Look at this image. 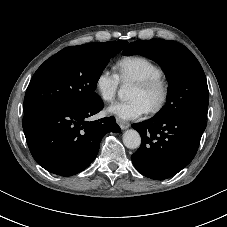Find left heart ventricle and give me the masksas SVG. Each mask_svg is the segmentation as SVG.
Instances as JSON below:
<instances>
[{"label": "left heart ventricle", "instance_id": "b2bd125f", "mask_svg": "<svg viewBox=\"0 0 227 227\" xmlns=\"http://www.w3.org/2000/svg\"><path fill=\"white\" fill-rule=\"evenodd\" d=\"M158 90L145 91L136 84L131 92V99H140L144 102L146 107L149 109L158 99Z\"/></svg>", "mask_w": 227, "mask_h": 227}]
</instances>
